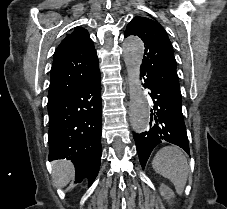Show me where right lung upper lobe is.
Returning a JSON list of instances; mask_svg holds the SVG:
<instances>
[{
    "mask_svg": "<svg viewBox=\"0 0 227 209\" xmlns=\"http://www.w3.org/2000/svg\"><path fill=\"white\" fill-rule=\"evenodd\" d=\"M89 70L98 67V57L93 41L86 29L76 27L57 47L51 68L48 104L66 96L79 87L87 74H76L75 67Z\"/></svg>",
    "mask_w": 227,
    "mask_h": 209,
    "instance_id": "cb5924a9",
    "label": "right lung upper lobe"
}]
</instances>
